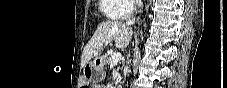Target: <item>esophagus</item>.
<instances>
[{
    "label": "esophagus",
    "mask_w": 227,
    "mask_h": 88,
    "mask_svg": "<svg viewBox=\"0 0 227 88\" xmlns=\"http://www.w3.org/2000/svg\"><path fill=\"white\" fill-rule=\"evenodd\" d=\"M149 5H150V4H148V5H147V7H146V10H148V8H149Z\"/></svg>",
    "instance_id": "34e87169"
}]
</instances>
